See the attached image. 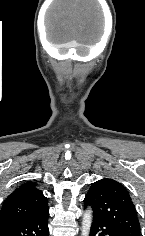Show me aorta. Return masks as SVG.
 Listing matches in <instances>:
<instances>
[{
	"label": "aorta",
	"mask_w": 145,
	"mask_h": 236,
	"mask_svg": "<svg viewBox=\"0 0 145 236\" xmlns=\"http://www.w3.org/2000/svg\"><path fill=\"white\" fill-rule=\"evenodd\" d=\"M91 224H92V211L88 209L84 212L82 218V227H81L82 236H89Z\"/></svg>",
	"instance_id": "aorta-1"
}]
</instances>
